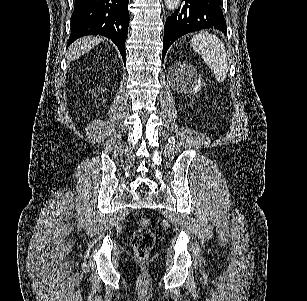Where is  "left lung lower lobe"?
<instances>
[{
  "label": "left lung lower lobe",
  "instance_id": "1",
  "mask_svg": "<svg viewBox=\"0 0 307 301\" xmlns=\"http://www.w3.org/2000/svg\"><path fill=\"white\" fill-rule=\"evenodd\" d=\"M185 1L170 17L164 28L162 61L172 43L182 35L205 28H216L226 34V21L221 0H182Z\"/></svg>",
  "mask_w": 307,
  "mask_h": 301
}]
</instances>
